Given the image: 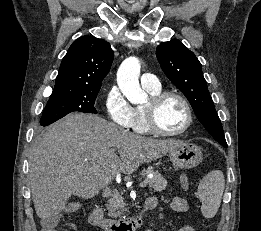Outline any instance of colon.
<instances>
[{"label":"colon","mask_w":261,"mask_h":231,"mask_svg":"<svg viewBox=\"0 0 261 231\" xmlns=\"http://www.w3.org/2000/svg\"><path fill=\"white\" fill-rule=\"evenodd\" d=\"M181 187H184V182L180 178ZM80 205L76 202L69 203L67 206L61 208L56 213L49 215L46 219L41 222V231H57L56 222L59 216L66 214H75L79 212Z\"/></svg>","instance_id":"5ec220e1"}]
</instances>
